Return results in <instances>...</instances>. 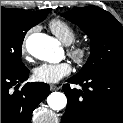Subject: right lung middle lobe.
<instances>
[{
  "label": "right lung middle lobe",
  "mask_w": 123,
  "mask_h": 123,
  "mask_svg": "<svg viewBox=\"0 0 123 123\" xmlns=\"http://www.w3.org/2000/svg\"><path fill=\"white\" fill-rule=\"evenodd\" d=\"M51 11L30 12L1 7V72L22 71V43L26 32L43 21Z\"/></svg>",
  "instance_id": "right-lung-middle-lobe-1"
}]
</instances>
